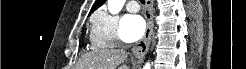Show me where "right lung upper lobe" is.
<instances>
[{"label": "right lung upper lobe", "mask_w": 246, "mask_h": 69, "mask_svg": "<svg viewBox=\"0 0 246 69\" xmlns=\"http://www.w3.org/2000/svg\"><path fill=\"white\" fill-rule=\"evenodd\" d=\"M106 0H96V2L94 3V5L92 6V9L90 12L95 11L96 9H98L101 5H103L105 3Z\"/></svg>", "instance_id": "cb5924a9"}]
</instances>
